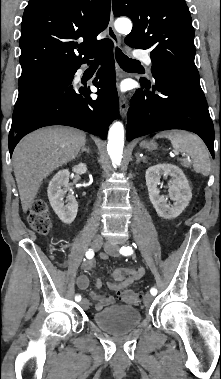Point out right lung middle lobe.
Masks as SVG:
<instances>
[{
  "instance_id": "1",
  "label": "right lung middle lobe",
  "mask_w": 221,
  "mask_h": 379,
  "mask_svg": "<svg viewBox=\"0 0 221 379\" xmlns=\"http://www.w3.org/2000/svg\"><path fill=\"white\" fill-rule=\"evenodd\" d=\"M67 71V69H55L51 71H47L44 73H41L39 75L33 76L27 80L19 82V95L18 99L15 105V109L19 108L21 105H23L28 95L33 91V89L39 85L40 83L51 79L55 75L63 74Z\"/></svg>"
}]
</instances>
